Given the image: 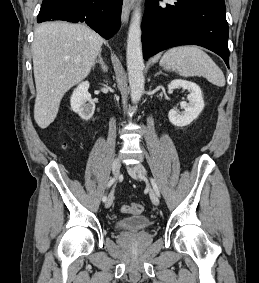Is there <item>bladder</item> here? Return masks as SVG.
<instances>
[{"instance_id": "obj_1", "label": "bladder", "mask_w": 259, "mask_h": 283, "mask_svg": "<svg viewBox=\"0 0 259 283\" xmlns=\"http://www.w3.org/2000/svg\"><path fill=\"white\" fill-rule=\"evenodd\" d=\"M151 220L143 215H134L119 219L114 227L118 232H139L149 228Z\"/></svg>"}]
</instances>
